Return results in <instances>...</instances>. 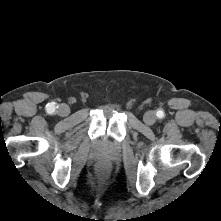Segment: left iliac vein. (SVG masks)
Listing matches in <instances>:
<instances>
[{"instance_id":"4c4485c4","label":"left iliac vein","mask_w":221,"mask_h":221,"mask_svg":"<svg viewBox=\"0 0 221 221\" xmlns=\"http://www.w3.org/2000/svg\"><path fill=\"white\" fill-rule=\"evenodd\" d=\"M143 119L147 125H153L156 122L157 118L154 111H148L145 113Z\"/></svg>"}]
</instances>
